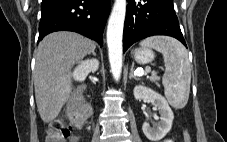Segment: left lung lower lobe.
Here are the masks:
<instances>
[{
    "mask_svg": "<svg viewBox=\"0 0 227 142\" xmlns=\"http://www.w3.org/2000/svg\"><path fill=\"white\" fill-rule=\"evenodd\" d=\"M123 33V51L133 43L153 35L185 40L173 7V0H128ZM187 47V46H186Z\"/></svg>",
    "mask_w": 227,
    "mask_h": 142,
    "instance_id": "obj_1",
    "label": "left lung lower lobe"
}]
</instances>
